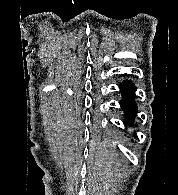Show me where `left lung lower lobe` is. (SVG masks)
Instances as JSON below:
<instances>
[{
    "mask_svg": "<svg viewBox=\"0 0 178 195\" xmlns=\"http://www.w3.org/2000/svg\"><path fill=\"white\" fill-rule=\"evenodd\" d=\"M120 89L123 94L121 107L126 114V123H132L133 118L137 114V107L133 100L135 87L132 83L124 82L120 85Z\"/></svg>",
    "mask_w": 178,
    "mask_h": 195,
    "instance_id": "0a47b994",
    "label": "left lung lower lobe"
}]
</instances>
